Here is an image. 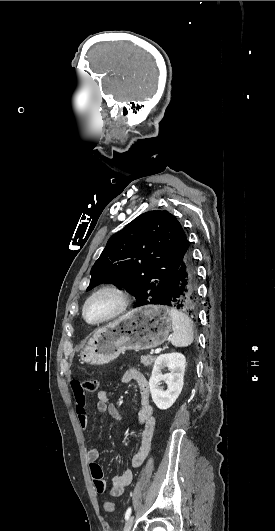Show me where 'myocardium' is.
<instances>
[{
	"mask_svg": "<svg viewBox=\"0 0 275 531\" xmlns=\"http://www.w3.org/2000/svg\"><path fill=\"white\" fill-rule=\"evenodd\" d=\"M109 295L112 296L116 301L115 308L106 316L97 319V320H91L86 316V307L87 305L95 300L98 297ZM129 298L127 292L119 285L115 284H108L104 285L97 290H95L93 293H91L83 302L82 304V318L84 321L91 325H100L103 323H106L119 315H121L128 307Z\"/></svg>",
	"mask_w": 275,
	"mask_h": 531,
	"instance_id": "myocardium-1",
	"label": "myocardium"
}]
</instances>
